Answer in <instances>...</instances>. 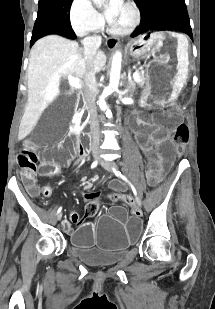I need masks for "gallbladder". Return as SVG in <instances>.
<instances>
[{
  "label": "gallbladder",
  "instance_id": "gallbladder-1",
  "mask_svg": "<svg viewBox=\"0 0 215 309\" xmlns=\"http://www.w3.org/2000/svg\"><path fill=\"white\" fill-rule=\"evenodd\" d=\"M47 108L33 129L34 142L39 148H52L61 136H65L66 125L76 108L75 92H62L53 103H48Z\"/></svg>",
  "mask_w": 215,
  "mask_h": 309
}]
</instances>
